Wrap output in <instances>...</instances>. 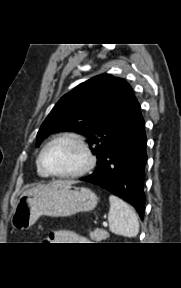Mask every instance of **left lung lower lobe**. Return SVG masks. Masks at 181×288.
<instances>
[{"instance_id": "left-lung-lower-lobe-1", "label": "left lung lower lobe", "mask_w": 181, "mask_h": 288, "mask_svg": "<svg viewBox=\"0 0 181 288\" xmlns=\"http://www.w3.org/2000/svg\"><path fill=\"white\" fill-rule=\"evenodd\" d=\"M146 143L145 123L135 98L123 127L94 173L81 178L130 203L141 219L145 210Z\"/></svg>"}]
</instances>
